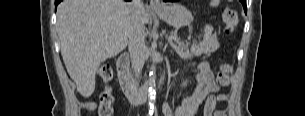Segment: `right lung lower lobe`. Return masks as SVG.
<instances>
[{
    "label": "right lung lower lobe",
    "instance_id": "1",
    "mask_svg": "<svg viewBox=\"0 0 305 116\" xmlns=\"http://www.w3.org/2000/svg\"><path fill=\"white\" fill-rule=\"evenodd\" d=\"M60 2L61 0H55V6H57Z\"/></svg>",
    "mask_w": 305,
    "mask_h": 116
}]
</instances>
